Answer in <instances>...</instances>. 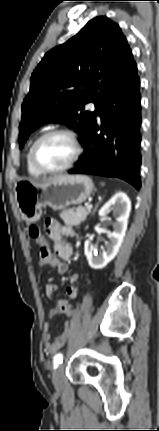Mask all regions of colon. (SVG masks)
Segmentation results:
<instances>
[{"label": "colon", "mask_w": 159, "mask_h": 431, "mask_svg": "<svg viewBox=\"0 0 159 431\" xmlns=\"http://www.w3.org/2000/svg\"><path fill=\"white\" fill-rule=\"evenodd\" d=\"M29 233L33 238H36V242L39 243V248L40 250H45L46 246H48V243H46L47 241V237L44 234H40V230L38 228V226L36 225H32L29 229ZM47 255H50V252H47ZM91 290H89V294L86 295V299H84V304H89L90 301L92 300H97V295L96 292L94 291V289H96V284H91ZM93 289V290H92ZM66 318L67 319H72L73 318V310H67L66 311Z\"/></svg>", "instance_id": "obj_1"}]
</instances>
